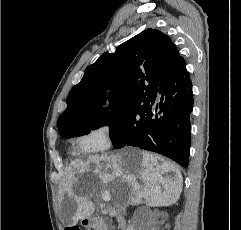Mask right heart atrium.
Returning <instances> with one entry per match:
<instances>
[{
  "instance_id": "obj_1",
  "label": "right heart atrium",
  "mask_w": 241,
  "mask_h": 230,
  "mask_svg": "<svg viewBox=\"0 0 241 230\" xmlns=\"http://www.w3.org/2000/svg\"><path fill=\"white\" fill-rule=\"evenodd\" d=\"M114 138L109 124H100L84 134L79 144L85 152H103L113 146Z\"/></svg>"
}]
</instances>
